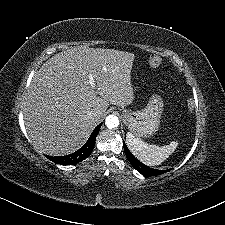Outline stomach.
<instances>
[{"mask_svg":"<svg viewBox=\"0 0 225 225\" xmlns=\"http://www.w3.org/2000/svg\"><path fill=\"white\" fill-rule=\"evenodd\" d=\"M161 109V100L154 98L140 111H124L123 120L136 137H149L158 130Z\"/></svg>","mask_w":225,"mask_h":225,"instance_id":"1","label":"stomach"}]
</instances>
